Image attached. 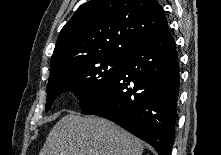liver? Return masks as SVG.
Instances as JSON below:
<instances>
[{
	"label": "liver",
	"mask_w": 221,
	"mask_h": 155,
	"mask_svg": "<svg viewBox=\"0 0 221 155\" xmlns=\"http://www.w3.org/2000/svg\"><path fill=\"white\" fill-rule=\"evenodd\" d=\"M135 136L109 120L73 112L52 128L39 155H142Z\"/></svg>",
	"instance_id": "6515ba94"
}]
</instances>
